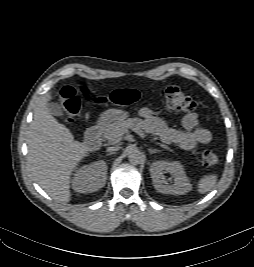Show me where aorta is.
<instances>
[{
  "label": "aorta",
  "instance_id": "obj_1",
  "mask_svg": "<svg viewBox=\"0 0 254 267\" xmlns=\"http://www.w3.org/2000/svg\"><path fill=\"white\" fill-rule=\"evenodd\" d=\"M143 153L136 147L130 146L128 148V160L131 164L138 165L143 161Z\"/></svg>",
  "mask_w": 254,
  "mask_h": 267
}]
</instances>
